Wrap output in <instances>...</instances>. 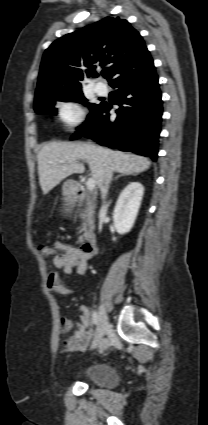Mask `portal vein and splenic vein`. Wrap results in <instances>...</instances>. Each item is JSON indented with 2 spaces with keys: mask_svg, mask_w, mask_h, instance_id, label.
Segmentation results:
<instances>
[{
  "mask_svg": "<svg viewBox=\"0 0 208 425\" xmlns=\"http://www.w3.org/2000/svg\"><path fill=\"white\" fill-rule=\"evenodd\" d=\"M71 161H75V160H60V163H66V162H71ZM95 184L96 181L93 177L88 178L87 182H86V187L89 191H92L95 188Z\"/></svg>",
  "mask_w": 208,
  "mask_h": 425,
  "instance_id": "obj_1",
  "label": "portal vein and splenic vein"
}]
</instances>
